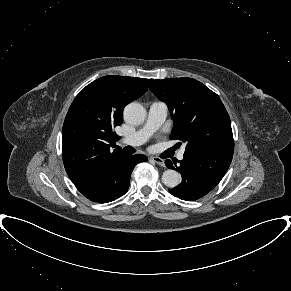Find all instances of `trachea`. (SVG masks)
Instances as JSON below:
<instances>
[{"label": "trachea", "mask_w": 291, "mask_h": 291, "mask_svg": "<svg viewBox=\"0 0 291 291\" xmlns=\"http://www.w3.org/2000/svg\"><path fill=\"white\" fill-rule=\"evenodd\" d=\"M124 150L127 151V152H131V147L127 146V147L124 148Z\"/></svg>", "instance_id": "obj_1"}]
</instances>
